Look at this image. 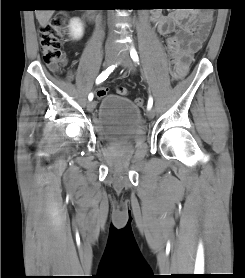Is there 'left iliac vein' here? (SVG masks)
<instances>
[{
	"label": "left iliac vein",
	"instance_id": "1",
	"mask_svg": "<svg viewBox=\"0 0 245 278\" xmlns=\"http://www.w3.org/2000/svg\"><path fill=\"white\" fill-rule=\"evenodd\" d=\"M122 66L130 71H134L135 70V66L132 63L128 53H127V49H125L124 53L122 54ZM147 116L148 118L152 119L155 116V111L151 108H149L147 110Z\"/></svg>",
	"mask_w": 245,
	"mask_h": 278
}]
</instances>
